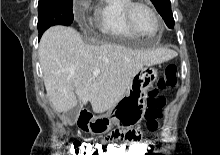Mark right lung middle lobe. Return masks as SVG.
Here are the masks:
<instances>
[{"mask_svg": "<svg viewBox=\"0 0 220 155\" xmlns=\"http://www.w3.org/2000/svg\"><path fill=\"white\" fill-rule=\"evenodd\" d=\"M73 0H39L38 31L39 37L53 25L69 26L73 22Z\"/></svg>", "mask_w": 220, "mask_h": 155, "instance_id": "dd1d6c3e", "label": "right lung middle lobe"}]
</instances>
